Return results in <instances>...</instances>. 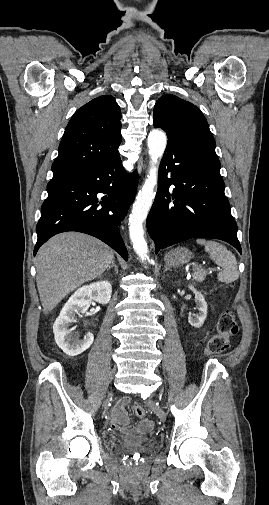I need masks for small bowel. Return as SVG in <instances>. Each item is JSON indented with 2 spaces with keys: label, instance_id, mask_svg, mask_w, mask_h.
Listing matches in <instances>:
<instances>
[{
  "label": "small bowel",
  "instance_id": "small-bowel-1",
  "mask_svg": "<svg viewBox=\"0 0 269 505\" xmlns=\"http://www.w3.org/2000/svg\"><path fill=\"white\" fill-rule=\"evenodd\" d=\"M128 397L121 398L115 405L112 411L111 425L113 429L121 430L127 434H134L136 431L146 433L150 431L154 422L151 419H143L139 422L137 428L130 425V421L126 412V406L129 404Z\"/></svg>",
  "mask_w": 269,
  "mask_h": 505
}]
</instances>
